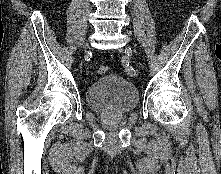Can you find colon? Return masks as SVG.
Instances as JSON below:
<instances>
[{
	"label": "colon",
	"mask_w": 221,
	"mask_h": 174,
	"mask_svg": "<svg viewBox=\"0 0 221 174\" xmlns=\"http://www.w3.org/2000/svg\"><path fill=\"white\" fill-rule=\"evenodd\" d=\"M98 73H99L100 75H105V74H107V73H108V67H107V66H100V67L98 68Z\"/></svg>",
	"instance_id": "colon-1"
}]
</instances>
